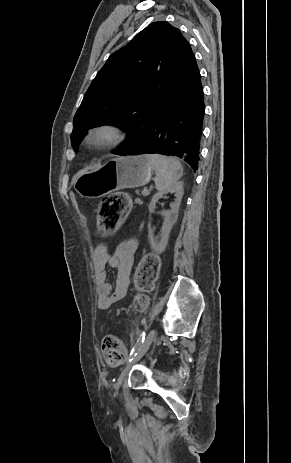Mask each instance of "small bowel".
Listing matches in <instances>:
<instances>
[{"label":"small bowel","instance_id":"obj_1","mask_svg":"<svg viewBox=\"0 0 291 463\" xmlns=\"http://www.w3.org/2000/svg\"><path fill=\"white\" fill-rule=\"evenodd\" d=\"M138 248L135 239L121 242L113 253L106 246L98 245L93 252V283L97 295V307L108 309L112 304L126 296L130 285V272ZM116 270L114 285L107 277V268Z\"/></svg>","mask_w":291,"mask_h":463}]
</instances>
